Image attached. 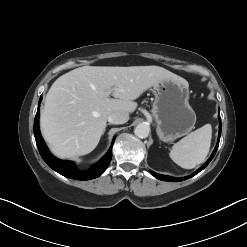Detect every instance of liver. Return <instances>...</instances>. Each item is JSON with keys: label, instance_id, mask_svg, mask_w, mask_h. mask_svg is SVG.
I'll use <instances>...</instances> for the list:
<instances>
[{"label": "liver", "instance_id": "1", "mask_svg": "<svg viewBox=\"0 0 247 247\" xmlns=\"http://www.w3.org/2000/svg\"><path fill=\"white\" fill-rule=\"evenodd\" d=\"M165 78L181 77L159 66H83L63 74L49 89L40 117L51 152L59 158L92 152L110 113L134 112L133 100Z\"/></svg>", "mask_w": 247, "mask_h": 247}]
</instances>
